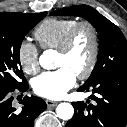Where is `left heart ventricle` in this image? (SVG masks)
I'll use <instances>...</instances> for the list:
<instances>
[{
    "label": "left heart ventricle",
    "instance_id": "b2bd125f",
    "mask_svg": "<svg viewBox=\"0 0 127 127\" xmlns=\"http://www.w3.org/2000/svg\"><path fill=\"white\" fill-rule=\"evenodd\" d=\"M92 50V40L87 30L81 31L71 50L66 55L57 53L55 68L66 67L75 75L85 70L89 63Z\"/></svg>",
    "mask_w": 127,
    "mask_h": 127
}]
</instances>
